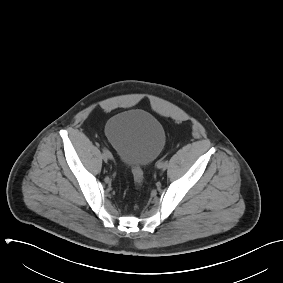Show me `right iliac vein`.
<instances>
[{"label":"right iliac vein","mask_w":283,"mask_h":283,"mask_svg":"<svg viewBox=\"0 0 283 283\" xmlns=\"http://www.w3.org/2000/svg\"><path fill=\"white\" fill-rule=\"evenodd\" d=\"M102 158L105 162H107L109 159L112 158V155L111 154H106V153H103L102 154Z\"/></svg>","instance_id":"63e3f726"}]
</instances>
